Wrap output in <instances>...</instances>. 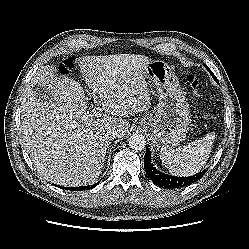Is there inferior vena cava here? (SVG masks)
Instances as JSON below:
<instances>
[{
	"label": "inferior vena cava",
	"instance_id": "602c4592",
	"mask_svg": "<svg viewBox=\"0 0 249 249\" xmlns=\"http://www.w3.org/2000/svg\"><path fill=\"white\" fill-rule=\"evenodd\" d=\"M106 136L108 139L113 140L114 138L118 136V131L116 129H111L107 131Z\"/></svg>",
	"mask_w": 249,
	"mask_h": 249
}]
</instances>
